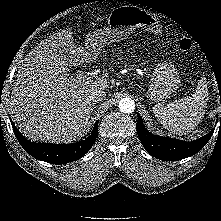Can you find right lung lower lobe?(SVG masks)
Instances as JSON below:
<instances>
[{"label": "right lung lower lobe", "mask_w": 221, "mask_h": 221, "mask_svg": "<svg viewBox=\"0 0 221 221\" xmlns=\"http://www.w3.org/2000/svg\"><path fill=\"white\" fill-rule=\"evenodd\" d=\"M14 134L20 145L34 158L52 164H66L82 157L92 147L98 133V121L91 135L71 144L36 143L27 140L12 122Z\"/></svg>", "instance_id": "98d812e1"}]
</instances>
